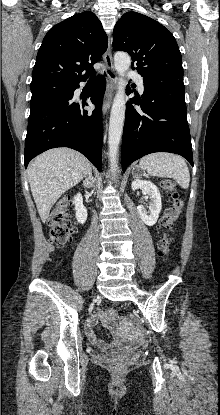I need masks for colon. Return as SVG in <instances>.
Instances as JSON below:
<instances>
[{
	"instance_id": "5ec220e1",
	"label": "colon",
	"mask_w": 220,
	"mask_h": 415,
	"mask_svg": "<svg viewBox=\"0 0 220 415\" xmlns=\"http://www.w3.org/2000/svg\"><path fill=\"white\" fill-rule=\"evenodd\" d=\"M162 188L170 196L172 205L167 208L160 220V228L163 231L162 237L158 241V249L163 256H167L171 249L172 236L170 231L178 219L183 201L177 194L175 183L170 179H163ZM73 209V199L71 196L64 197L58 201L49 216L50 239L58 247H64L72 241L74 228L69 222V214ZM105 314L109 319H114L118 312L114 307H107ZM112 367L116 370L124 368L123 363L114 362Z\"/></svg>"
}]
</instances>
